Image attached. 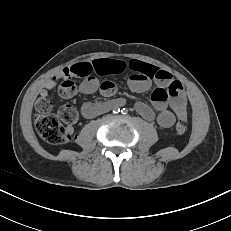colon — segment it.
<instances>
[{"label": "colon", "mask_w": 231, "mask_h": 231, "mask_svg": "<svg viewBox=\"0 0 231 231\" xmlns=\"http://www.w3.org/2000/svg\"><path fill=\"white\" fill-rule=\"evenodd\" d=\"M76 90L71 76L65 78L59 88L63 97H70ZM78 119L77 110L71 105H64L57 113L53 112L52 103L49 100L42 101L37 107L34 125L39 136L52 145H63L69 142L71 136L66 125L74 124ZM187 128V118L180 117L175 126L177 134H183Z\"/></svg>", "instance_id": "obj_1"}]
</instances>
